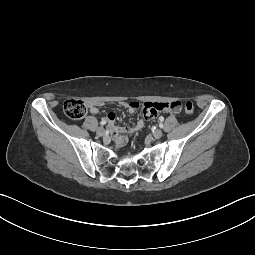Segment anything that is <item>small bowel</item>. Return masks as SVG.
Returning <instances> with one entry per match:
<instances>
[{
  "label": "small bowel",
  "instance_id": "small-bowel-1",
  "mask_svg": "<svg viewBox=\"0 0 255 255\" xmlns=\"http://www.w3.org/2000/svg\"><path fill=\"white\" fill-rule=\"evenodd\" d=\"M100 103L92 102L89 104L90 112L92 114L98 113V106ZM131 112H133L139 103L132 102L130 104L124 103ZM183 111V104L180 101L171 100L169 102H146L143 104V115L146 119H152L160 113L180 114ZM116 120V114L110 112L107 115L106 122L109 123L113 137L118 146H122L127 141V135L132 133L135 129L141 128L143 123L140 121L135 127H116L114 122Z\"/></svg>",
  "mask_w": 255,
  "mask_h": 255
}]
</instances>
